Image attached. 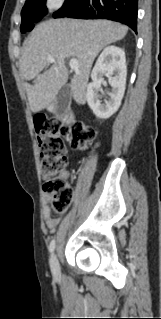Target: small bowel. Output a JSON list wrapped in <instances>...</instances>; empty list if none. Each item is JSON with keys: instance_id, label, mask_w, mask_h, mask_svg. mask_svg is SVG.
Wrapping results in <instances>:
<instances>
[{"instance_id": "obj_1", "label": "small bowel", "mask_w": 161, "mask_h": 319, "mask_svg": "<svg viewBox=\"0 0 161 319\" xmlns=\"http://www.w3.org/2000/svg\"><path fill=\"white\" fill-rule=\"evenodd\" d=\"M67 176L68 174L64 172L62 173L61 178L65 180ZM51 199H52V196L50 194H44V200L46 203L50 202ZM43 215H44L46 225L49 229H53L58 225L59 219L51 216L50 208L48 207L47 204L43 208Z\"/></svg>"}]
</instances>
